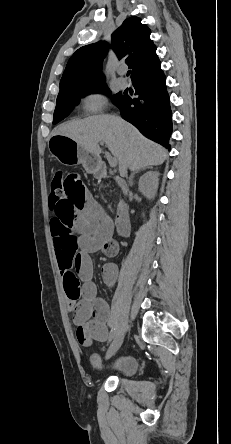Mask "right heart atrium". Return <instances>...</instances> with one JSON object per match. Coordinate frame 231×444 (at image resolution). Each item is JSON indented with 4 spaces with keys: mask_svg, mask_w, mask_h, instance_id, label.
Wrapping results in <instances>:
<instances>
[{
    "mask_svg": "<svg viewBox=\"0 0 231 444\" xmlns=\"http://www.w3.org/2000/svg\"><path fill=\"white\" fill-rule=\"evenodd\" d=\"M106 106V96L101 91H89L81 100V107L85 113H98Z\"/></svg>",
    "mask_w": 231,
    "mask_h": 444,
    "instance_id": "1",
    "label": "right heart atrium"
}]
</instances>
